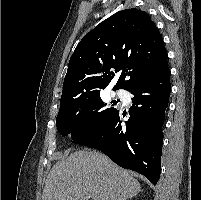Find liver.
<instances>
[{"mask_svg": "<svg viewBox=\"0 0 201 200\" xmlns=\"http://www.w3.org/2000/svg\"><path fill=\"white\" fill-rule=\"evenodd\" d=\"M139 182L105 155L76 151L57 162L47 176L42 200H127Z\"/></svg>", "mask_w": 201, "mask_h": 200, "instance_id": "liver-1", "label": "liver"}]
</instances>
